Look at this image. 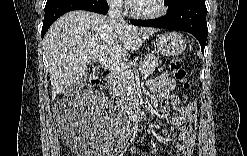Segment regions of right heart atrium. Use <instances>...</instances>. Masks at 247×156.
Returning a JSON list of instances; mask_svg holds the SVG:
<instances>
[{
	"mask_svg": "<svg viewBox=\"0 0 247 156\" xmlns=\"http://www.w3.org/2000/svg\"><path fill=\"white\" fill-rule=\"evenodd\" d=\"M110 6L113 7L116 10H121L123 9L125 2L122 0H111L109 2Z\"/></svg>",
	"mask_w": 247,
	"mask_h": 156,
	"instance_id": "obj_1",
	"label": "right heart atrium"
}]
</instances>
